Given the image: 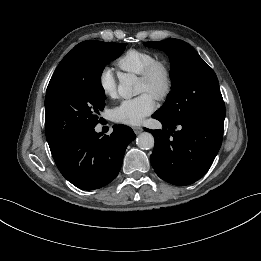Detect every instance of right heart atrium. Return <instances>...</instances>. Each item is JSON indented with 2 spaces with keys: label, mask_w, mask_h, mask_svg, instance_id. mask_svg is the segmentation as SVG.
Wrapping results in <instances>:
<instances>
[{
  "label": "right heart atrium",
  "mask_w": 261,
  "mask_h": 261,
  "mask_svg": "<svg viewBox=\"0 0 261 261\" xmlns=\"http://www.w3.org/2000/svg\"><path fill=\"white\" fill-rule=\"evenodd\" d=\"M98 85L106 97H115L117 94V78L113 70L109 67H104L98 75Z\"/></svg>",
  "instance_id": "obj_1"
}]
</instances>
